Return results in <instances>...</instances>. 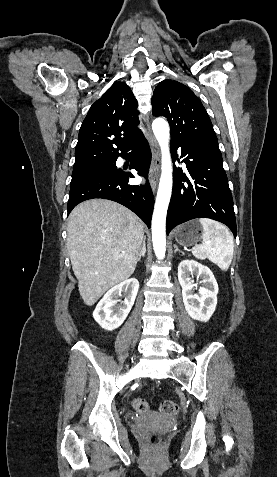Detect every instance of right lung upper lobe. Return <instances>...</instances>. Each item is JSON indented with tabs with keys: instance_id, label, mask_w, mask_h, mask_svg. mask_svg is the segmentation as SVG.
I'll use <instances>...</instances> for the list:
<instances>
[{
	"instance_id": "right-lung-upper-lobe-1",
	"label": "right lung upper lobe",
	"mask_w": 277,
	"mask_h": 477,
	"mask_svg": "<svg viewBox=\"0 0 277 477\" xmlns=\"http://www.w3.org/2000/svg\"><path fill=\"white\" fill-rule=\"evenodd\" d=\"M138 114L130 87L113 84L93 103L80 127L73 168L112 161L127 152L144 137L137 128Z\"/></svg>"
}]
</instances>
